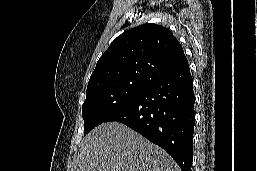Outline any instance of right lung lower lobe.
Instances as JSON below:
<instances>
[{"label":"right lung lower lobe","instance_id":"right-lung-lower-lobe-1","mask_svg":"<svg viewBox=\"0 0 257 171\" xmlns=\"http://www.w3.org/2000/svg\"><path fill=\"white\" fill-rule=\"evenodd\" d=\"M194 103L193 80L187 65L148 85L105 122L127 125L169 153L182 171H191Z\"/></svg>","mask_w":257,"mask_h":171}]
</instances>
